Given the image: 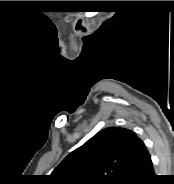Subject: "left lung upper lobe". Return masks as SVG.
<instances>
[{
  "label": "left lung upper lobe",
  "instance_id": "obj_1",
  "mask_svg": "<svg viewBox=\"0 0 174 184\" xmlns=\"http://www.w3.org/2000/svg\"><path fill=\"white\" fill-rule=\"evenodd\" d=\"M142 141L109 127L70 153L51 174L58 184H124Z\"/></svg>",
  "mask_w": 174,
  "mask_h": 184
}]
</instances>
